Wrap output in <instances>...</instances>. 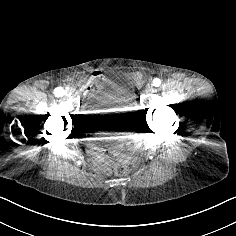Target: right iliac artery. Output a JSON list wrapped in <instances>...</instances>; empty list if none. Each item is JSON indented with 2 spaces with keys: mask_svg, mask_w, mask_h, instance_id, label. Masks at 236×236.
<instances>
[{
  "mask_svg": "<svg viewBox=\"0 0 236 236\" xmlns=\"http://www.w3.org/2000/svg\"><path fill=\"white\" fill-rule=\"evenodd\" d=\"M53 94L56 96V97H62L65 95V90L62 88V87H57L54 89V92Z\"/></svg>",
  "mask_w": 236,
  "mask_h": 236,
  "instance_id": "right-iliac-artery-1",
  "label": "right iliac artery"
}]
</instances>
